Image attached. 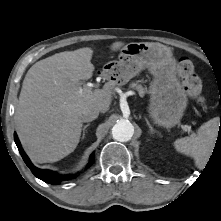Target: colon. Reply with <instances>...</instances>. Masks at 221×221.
Segmentation results:
<instances>
[{"label":"colon","mask_w":221,"mask_h":221,"mask_svg":"<svg viewBox=\"0 0 221 221\" xmlns=\"http://www.w3.org/2000/svg\"><path fill=\"white\" fill-rule=\"evenodd\" d=\"M177 73L186 93L189 96L201 101L202 81L195 72L193 62L187 57L181 58L177 66Z\"/></svg>","instance_id":"5ec220e1"}]
</instances>
